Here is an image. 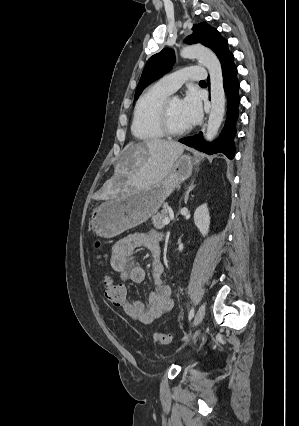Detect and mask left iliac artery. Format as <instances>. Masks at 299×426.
Instances as JSON below:
<instances>
[{
	"label": "left iliac artery",
	"instance_id": "1",
	"mask_svg": "<svg viewBox=\"0 0 299 426\" xmlns=\"http://www.w3.org/2000/svg\"><path fill=\"white\" fill-rule=\"evenodd\" d=\"M194 316V308H191L189 311L188 319L191 320Z\"/></svg>",
	"mask_w": 299,
	"mask_h": 426
}]
</instances>
